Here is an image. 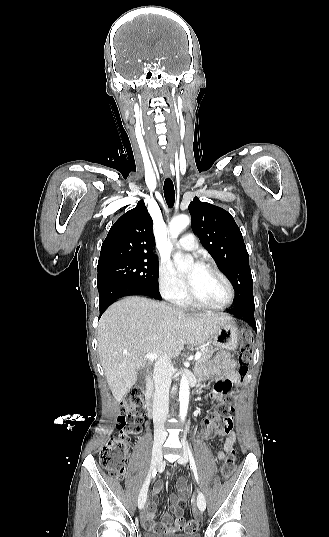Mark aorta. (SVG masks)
Masks as SVG:
<instances>
[{
	"instance_id": "1",
	"label": "aorta",
	"mask_w": 329,
	"mask_h": 537,
	"mask_svg": "<svg viewBox=\"0 0 329 537\" xmlns=\"http://www.w3.org/2000/svg\"><path fill=\"white\" fill-rule=\"evenodd\" d=\"M190 224L189 216L181 214L172 219L169 224V232L172 239L176 240L179 234ZM178 268L180 270L186 271L190 266L194 264L192 257L188 256L185 260L179 259L177 261ZM189 404V382L187 375L184 373L180 381V390H179V416L181 421L184 422Z\"/></svg>"
}]
</instances>
